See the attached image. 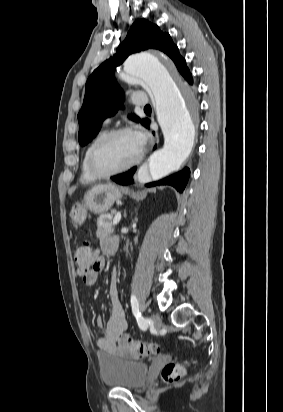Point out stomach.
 <instances>
[{"label":"stomach","instance_id":"obj_1","mask_svg":"<svg viewBox=\"0 0 283 412\" xmlns=\"http://www.w3.org/2000/svg\"><path fill=\"white\" fill-rule=\"evenodd\" d=\"M123 191L113 185H98L90 189L81 203H75L70 211V218L75 227L82 225L87 217V212L101 214L108 211L115 201L121 199Z\"/></svg>","mask_w":283,"mask_h":412}]
</instances>
